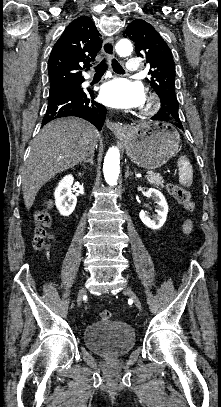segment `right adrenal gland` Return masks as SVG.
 <instances>
[{
	"mask_svg": "<svg viewBox=\"0 0 221 407\" xmlns=\"http://www.w3.org/2000/svg\"><path fill=\"white\" fill-rule=\"evenodd\" d=\"M93 158H94V153L88 159L84 160V164L85 163H90L93 166L94 165Z\"/></svg>",
	"mask_w": 221,
	"mask_h": 407,
	"instance_id": "2a0ac1e0",
	"label": "right adrenal gland"
}]
</instances>
